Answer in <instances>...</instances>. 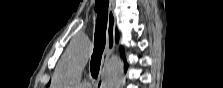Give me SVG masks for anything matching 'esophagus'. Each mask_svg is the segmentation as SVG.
Returning <instances> with one entry per match:
<instances>
[{"instance_id": "1", "label": "esophagus", "mask_w": 223, "mask_h": 88, "mask_svg": "<svg viewBox=\"0 0 223 88\" xmlns=\"http://www.w3.org/2000/svg\"><path fill=\"white\" fill-rule=\"evenodd\" d=\"M114 7H115L114 0H109L107 29H106V47L102 55V61H101L99 75L97 78L96 88H103L104 86L106 66L110 58V55L112 54L115 47L116 19H115Z\"/></svg>"}]
</instances>
